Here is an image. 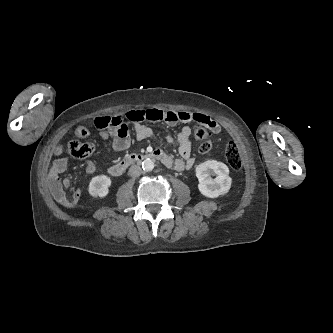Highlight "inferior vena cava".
<instances>
[{
    "instance_id": "602c4592",
    "label": "inferior vena cava",
    "mask_w": 333,
    "mask_h": 333,
    "mask_svg": "<svg viewBox=\"0 0 333 333\" xmlns=\"http://www.w3.org/2000/svg\"><path fill=\"white\" fill-rule=\"evenodd\" d=\"M142 173V169L140 166H137V165H133L129 168V174L132 176V177H138L140 176Z\"/></svg>"
}]
</instances>
